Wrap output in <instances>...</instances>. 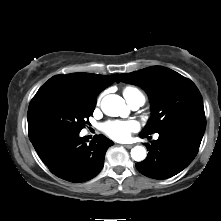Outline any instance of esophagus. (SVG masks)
<instances>
[{"mask_svg":"<svg viewBox=\"0 0 221 221\" xmlns=\"http://www.w3.org/2000/svg\"><path fill=\"white\" fill-rule=\"evenodd\" d=\"M134 145H132V144H125L124 145V147H126V148H128V149H130V148H132Z\"/></svg>","mask_w":221,"mask_h":221,"instance_id":"obj_1","label":"esophagus"}]
</instances>
